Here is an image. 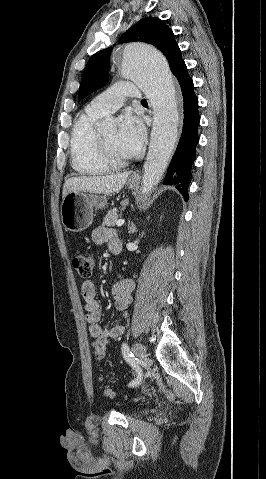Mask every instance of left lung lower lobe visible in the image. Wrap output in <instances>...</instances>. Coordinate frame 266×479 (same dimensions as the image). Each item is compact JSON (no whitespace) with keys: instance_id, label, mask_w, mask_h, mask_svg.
Segmentation results:
<instances>
[{"instance_id":"obj_1","label":"left lung lower lobe","mask_w":266,"mask_h":479,"mask_svg":"<svg viewBox=\"0 0 266 479\" xmlns=\"http://www.w3.org/2000/svg\"><path fill=\"white\" fill-rule=\"evenodd\" d=\"M177 78L184 100V124L177 149L169 164L164 184L175 185V188L188 200V185L191 180V166L195 160L196 145L199 141L198 99L194 93L193 81L188 75L185 63L173 73Z\"/></svg>"}]
</instances>
